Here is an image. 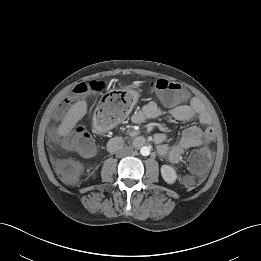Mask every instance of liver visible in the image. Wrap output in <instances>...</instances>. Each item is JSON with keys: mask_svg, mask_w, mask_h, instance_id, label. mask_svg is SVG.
Wrapping results in <instances>:
<instances>
[{"mask_svg": "<svg viewBox=\"0 0 261 261\" xmlns=\"http://www.w3.org/2000/svg\"><path fill=\"white\" fill-rule=\"evenodd\" d=\"M87 113V102L85 100L78 101L71 106L67 114L63 118L57 129L59 136L68 135L76 126L77 122L82 119Z\"/></svg>", "mask_w": 261, "mask_h": 261, "instance_id": "obj_1", "label": "liver"}]
</instances>
